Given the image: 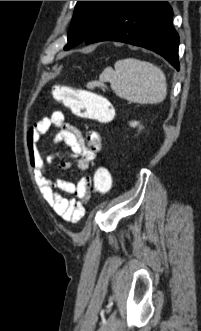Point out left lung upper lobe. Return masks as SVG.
I'll use <instances>...</instances> for the list:
<instances>
[{"label":"left lung upper lobe","mask_w":201,"mask_h":331,"mask_svg":"<svg viewBox=\"0 0 201 331\" xmlns=\"http://www.w3.org/2000/svg\"><path fill=\"white\" fill-rule=\"evenodd\" d=\"M119 2L77 1L68 33V43L64 49H70L85 41Z\"/></svg>","instance_id":"1"}]
</instances>
